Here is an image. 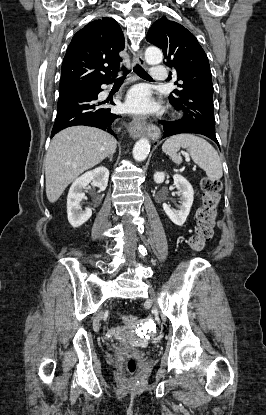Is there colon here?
Masks as SVG:
<instances>
[{
	"label": "colon",
	"instance_id": "5ec220e1",
	"mask_svg": "<svg viewBox=\"0 0 266 415\" xmlns=\"http://www.w3.org/2000/svg\"><path fill=\"white\" fill-rule=\"evenodd\" d=\"M202 205L197 211V227L195 233L189 239L192 252H200L214 235V226L217 218V207L220 201L221 183L218 180L204 178L201 181ZM122 320L130 326H138L139 320L133 315H122ZM126 369L134 373L137 362L134 358H128Z\"/></svg>",
	"mask_w": 266,
	"mask_h": 415
}]
</instances>
